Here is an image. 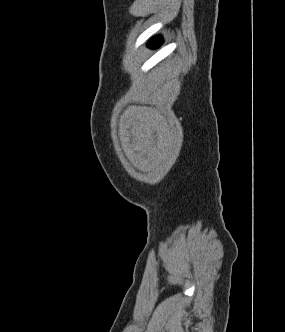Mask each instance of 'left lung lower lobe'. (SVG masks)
Listing matches in <instances>:
<instances>
[{
    "instance_id": "0a47b994",
    "label": "left lung lower lobe",
    "mask_w": 285,
    "mask_h": 332,
    "mask_svg": "<svg viewBox=\"0 0 285 332\" xmlns=\"http://www.w3.org/2000/svg\"><path fill=\"white\" fill-rule=\"evenodd\" d=\"M161 43H162V39H161V37L157 36V37L151 39V41L149 42V45H150L152 48H156V47H158Z\"/></svg>"
}]
</instances>
